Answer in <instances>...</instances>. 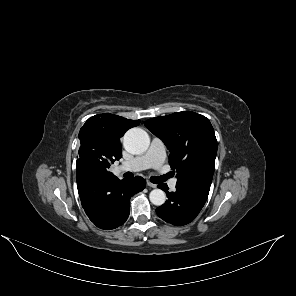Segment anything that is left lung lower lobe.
<instances>
[{
    "label": "left lung lower lobe",
    "instance_id": "0a47b994",
    "mask_svg": "<svg viewBox=\"0 0 296 296\" xmlns=\"http://www.w3.org/2000/svg\"><path fill=\"white\" fill-rule=\"evenodd\" d=\"M158 187L164 190L168 200L156 209L157 215L164 221L182 226L193 221L204 206L209 187L176 186L175 192H169L166 184Z\"/></svg>",
    "mask_w": 296,
    "mask_h": 296
}]
</instances>
